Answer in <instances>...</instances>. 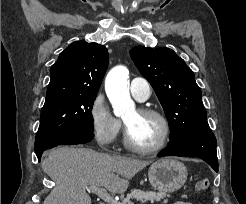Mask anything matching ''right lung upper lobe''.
Wrapping results in <instances>:
<instances>
[{
    "instance_id": "right-lung-upper-lobe-1",
    "label": "right lung upper lobe",
    "mask_w": 246,
    "mask_h": 204,
    "mask_svg": "<svg viewBox=\"0 0 246 204\" xmlns=\"http://www.w3.org/2000/svg\"><path fill=\"white\" fill-rule=\"evenodd\" d=\"M108 60L105 46L85 41L72 43L50 69L46 101L74 94L97 95Z\"/></svg>"
}]
</instances>
